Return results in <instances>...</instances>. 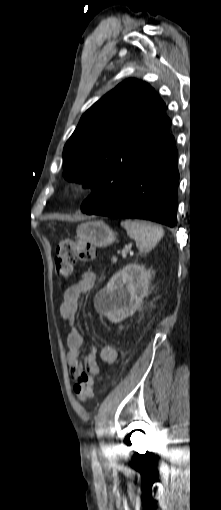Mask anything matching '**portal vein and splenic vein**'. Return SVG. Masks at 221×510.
<instances>
[{
  "mask_svg": "<svg viewBox=\"0 0 221 510\" xmlns=\"http://www.w3.org/2000/svg\"><path fill=\"white\" fill-rule=\"evenodd\" d=\"M128 249H129V247H128V246H126L122 253H124V254H125V253L128 251ZM111 261H112V262H116V261H117V257H112Z\"/></svg>",
  "mask_w": 221,
  "mask_h": 510,
  "instance_id": "1",
  "label": "portal vein and splenic vein"
}]
</instances>
